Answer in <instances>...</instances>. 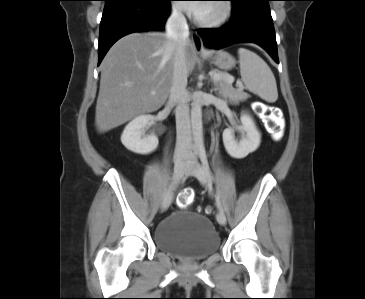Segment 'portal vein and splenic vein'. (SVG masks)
<instances>
[{
    "label": "portal vein and splenic vein",
    "instance_id": "portal-vein-and-splenic-vein-1",
    "mask_svg": "<svg viewBox=\"0 0 365 299\" xmlns=\"http://www.w3.org/2000/svg\"><path fill=\"white\" fill-rule=\"evenodd\" d=\"M210 75L212 76V79H213V81H214V82H218L219 80H221V79H222V76H221V75H219V74L210 73ZM227 79H228V81H229V82H231V83L234 81V78H233V77H231V76H229ZM151 94H152V95H154V94H155V92H151Z\"/></svg>",
    "mask_w": 365,
    "mask_h": 299
}]
</instances>
